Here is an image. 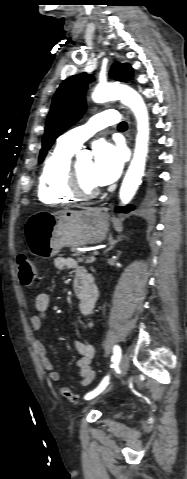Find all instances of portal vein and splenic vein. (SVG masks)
Segmentation results:
<instances>
[{
	"instance_id": "1",
	"label": "portal vein and splenic vein",
	"mask_w": 187,
	"mask_h": 479,
	"mask_svg": "<svg viewBox=\"0 0 187 479\" xmlns=\"http://www.w3.org/2000/svg\"><path fill=\"white\" fill-rule=\"evenodd\" d=\"M99 253L97 251H94L93 252V255H98Z\"/></svg>"
}]
</instances>
